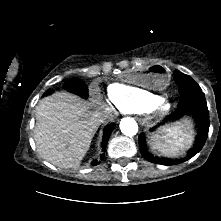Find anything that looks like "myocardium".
I'll use <instances>...</instances> for the list:
<instances>
[{
	"label": "myocardium",
	"mask_w": 221,
	"mask_h": 221,
	"mask_svg": "<svg viewBox=\"0 0 221 221\" xmlns=\"http://www.w3.org/2000/svg\"><path fill=\"white\" fill-rule=\"evenodd\" d=\"M149 110L153 111L158 116H164L171 110V103L166 98L161 97L149 108Z\"/></svg>",
	"instance_id": "myocardium-1"
}]
</instances>
